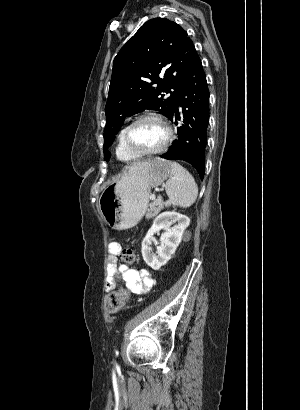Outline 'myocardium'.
Returning a JSON list of instances; mask_svg holds the SVG:
<instances>
[{
	"instance_id": "myocardium-1",
	"label": "myocardium",
	"mask_w": 300,
	"mask_h": 410,
	"mask_svg": "<svg viewBox=\"0 0 300 410\" xmlns=\"http://www.w3.org/2000/svg\"><path fill=\"white\" fill-rule=\"evenodd\" d=\"M147 119H154L157 120L158 122H160L162 124V126L164 127L165 131H166V138L164 140V142L162 143V145L160 147H158L157 149L154 150H141L138 149L131 141L130 139V133L132 131V129L141 121L143 120H147ZM173 139V130L170 126V124L168 123V121L161 115L158 113H153V112H149V113H144L142 115H139L138 117H136L131 123H129L125 130H124V134H123V141L125 146L135 155L139 156V157H144V156H153V155H157L162 153L163 151H165L167 149V147L169 146V144L171 143Z\"/></svg>"
}]
</instances>
